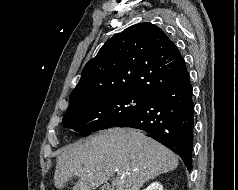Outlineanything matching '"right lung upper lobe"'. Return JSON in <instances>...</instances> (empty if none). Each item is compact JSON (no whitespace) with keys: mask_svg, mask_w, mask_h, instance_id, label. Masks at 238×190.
I'll return each mask as SVG.
<instances>
[{"mask_svg":"<svg viewBox=\"0 0 238 190\" xmlns=\"http://www.w3.org/2000/svg\"><path fill=\"white\" fill-rule=\"evenodd\" d=\"M186 70L169 37L154 24L139 23L114 35L87 62L69 107L96 95L132 93L150 98Z\"/></svg>","mask_w":238,"mask_h":190,"instance_id":"obj_1","label":"right lung upper lobe"}]
</instances>
